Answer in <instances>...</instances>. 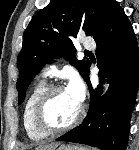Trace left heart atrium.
Here are the masks:
<instances>
[{"instance_id":"39dd6f15","label":"left heart atrium","mask_w":139,"mask_h":150,"mask_svg":"<svg viewBox=\"0 0 139 150\" xmlns=\"http://www.w3.org/2000/svg\"><path fill=\"white\" fill-rule=\"evenodd\" d=\"M69 93L81 104L85 97V87L78 76H73L66 88Z\"/></svg>"}]
</instances>
